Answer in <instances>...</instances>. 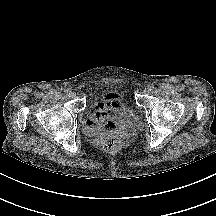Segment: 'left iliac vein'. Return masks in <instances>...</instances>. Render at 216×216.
<instances>
[{
	"label": "left iliac vein",
	"instance_id": "4c4485c4",
	"mask_svg": "<svg viewBox=\"0 0 216 216\" xmlns=\"http://www.w3.org/2000/svg\"><path fill=\"white\" fill-rule=\"evenodd\" d=\"M143 93L144 94H149L150 93L149 87L144 88Z\"/></svg>",
	"mask_w": 216,
	"mask_h": 216
}]
</instances>
